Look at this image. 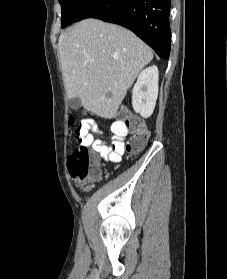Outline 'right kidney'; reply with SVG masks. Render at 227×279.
Here are the masks:
<instances>
[{
  "mask_svg": "<svg viewBox=\"0 0 227 279\" xmlns=\"http://www.w3.org/2000/svg\"><path fill=\"white\" fill-rule=\"evenodd\" d=\"M158 97V68L153 65L141 71L132 90V106L143 118L152 115Z\"/></svg>",
  "mask_w": 227,
  "mask_h": 279,
  "instance_id": "right-kidney-1",
  "label": "right kidney"
}]
</instances>
